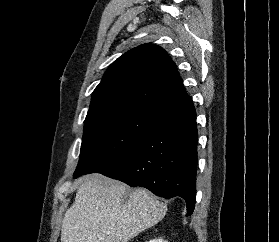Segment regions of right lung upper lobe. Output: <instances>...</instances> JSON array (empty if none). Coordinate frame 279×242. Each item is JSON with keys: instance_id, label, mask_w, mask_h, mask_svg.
Masks as SVG:
<instances>
[{"instance_id": "1", "label": "right lung upper lobe", "mask_w": 279, "mask_h": 242, "mask_svg": "<svg viewBox=\"0 0 279 242\" xmlns=\"http://www.w3.org/2000/svg\"><path fill=\"white\" fill-rule=\"evenodd\" d=\"M191 102L166 51L144 44L110 65L93 92L87 115L124 110L160 115Z\"/></svg>"}]
</instances>
